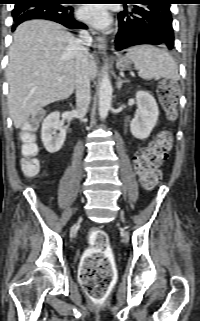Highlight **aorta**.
Segmentation results:
<instances>
[{
  "mask_svg": "<svg viewBox=\"0 0 200 321\" xmlns=\"http://www.w3.org/2000/svg\"><path fill=\"white\" fill-rule=\"evenodd\" d=\"M106 69V67H105ZM112 101V86L107 72L103 71L102 80L99 89V115L101 119H105L111 107Z\"/></svg>",
  "mask_w": 200,
  "mask_h": 321,
  "instance_id": "762f6f07",
  "label": "aorta"
}]
</instances>
